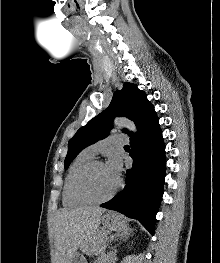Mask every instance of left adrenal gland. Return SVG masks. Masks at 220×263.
<instances>
[{
    "instance_id": "1",
    "label": "left adrenal gland",
    "mask_w": 220,
    "mask_h": 263,
    "mask_svg": "<svg viewBox=\"0 0 220 263\" xmlns=\"http://www.w3.org/2000/svg\"><path fill=\"white\" fill-rule=\"evenodd\" d=\"M131 232H132V229H128L127 228L123 232L115 234L114 235L115 240H117L118 238H120V239H123V238L127 239L130 236Z\"/></svg>"
}]
</instances>
